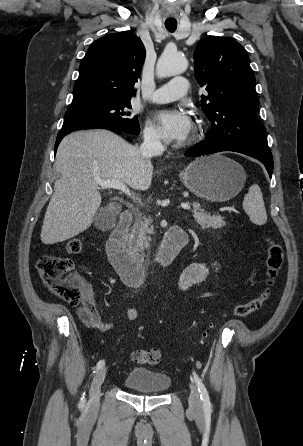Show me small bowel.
<instances>
[{
  "instance_id": "small-bowel-1",
  "label": "small bowel",
  "mask_w": 303,
  "mask_h": 446,
  "mask_svg": "<svg viewBox=\"0 0 303 446\" xmlns=\"http://www.w3.org/2000/svg\"><path fill=\"white\" fill-rule=\"evenodd\" d=\"M210 272L208 264L203 262H193L186 266L178 278V288L182 291L198 284L206 279ZM83 289L86 295L85 302L76 308L78 318L84 325L90 329L107 331L114 327L113 323L102 321L100 313L96 307L92 288L83 283ZM138 317V310L134 307L128 309L123 317V321H133Z\"/></svg>"
}]
</instances>
